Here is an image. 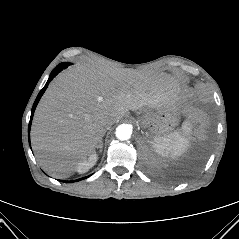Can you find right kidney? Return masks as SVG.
Segmentation results:
<instances>
[{"instance_id":"right-kidney-1","label":"right kidney","mask_w":239,"mask_h":239,"mask_svg":"<svg viewBox=\"0 0 239 239\" xmlns=\"http://www.w3.org/2000/svg\"><path fill=\"white\" fill-rule=\"evenodd\" d=\"M98 156L96 153L91 154L88 159L82 160L81 162L78 163L77 165V172L79 173H85L87 172L90 168H92L96 162H97Z\"/></svg>"}]
</instances>
